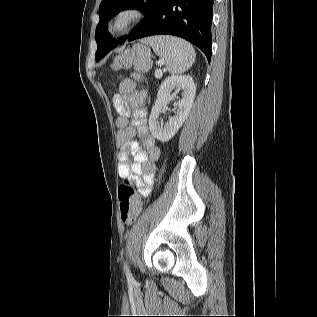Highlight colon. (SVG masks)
I'll use <instances>...</instances> for the list:
<instances>
[{
    "instance_id": "obj_1",
    "label": "colon",
    "mask_w": 317,
    "mask_h": 317,
    "mask_svg": "<svg viewBox=\"0 0 317 317\" xmlns=\"http://www.w3.org/2000/svg\"><path fill=\"white\" fill-rule=\"evenodd\" d=\"M131 65L130 55L127 53L117 56L112 64L113 70H121ZM149 67V61L139 58L135 61V68L138 72L145 71ZM139 76L136 75V78ZM118 199L121 220L124 224L133 223L142 210V201L131 186L130 180L126 179L118 189Z\"/></svg>"
}]
</instances>
